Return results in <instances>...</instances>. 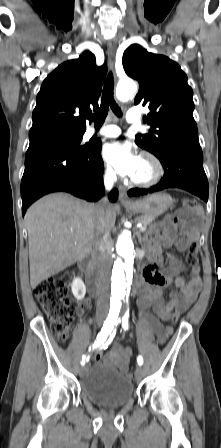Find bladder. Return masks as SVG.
Segmentation results:
<instances>
[{
    "mask_svg": "<svg viewBox=\"0 0 221 448\" xmlns=\"http://www.w3.org/2000/svg\"><path fill=\"white\" fill-rule=\"evenodd\" d=\"M82 394L103 407H121L132 400L134 386L131 378L110 363L95 364L81 380Z\"/></svg>",
    "mask_w": 221,
    "mask_h": 448,
    "instance_id": "31cf9c89",
    "label": "bladder"
}]
</instances>
